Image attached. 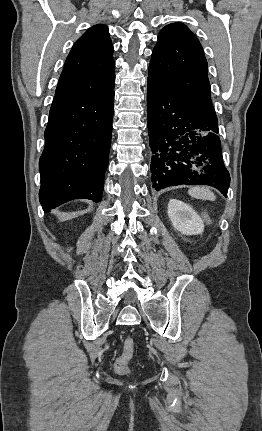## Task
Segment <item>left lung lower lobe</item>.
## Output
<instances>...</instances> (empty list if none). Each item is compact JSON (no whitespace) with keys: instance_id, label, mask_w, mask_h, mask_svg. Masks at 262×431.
I'll return each instance as SVG.
<instances>
[{"instance_id":"obj_1","label":"left lung lower lobe","mask_w":262,"mask_h":431,"mask_svg":"<svg viewBox=\"0 0 262 431\" xmlns=\"http://www.w3.org/2000/svg\"><path fill=\"white\" fill-rule=\"evenodd\" d=\"M147 114L151 147L152 187L209 185L224 196L230 176L222 157L218 123L165 89L147 83Z\"/></svg>"}]
</instances>
